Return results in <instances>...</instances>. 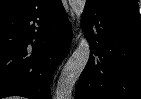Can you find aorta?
<instances>
[{"label":"aorta","mask_w":141,"mask_h":99,"mask_svg":"<svg viewBox=\"0 0 141 99\" xmlns=\"http://www.w3.org/2000/svg\"><path fill=\"white\" fill-rule=\"evenodd\" d=\"M69 4L76 14L78 21L81 22L86 0H69ZM89 56V41L86 38V33L81 31L78 47L67 61L60 74L55 99H71L73 87L84 70Z\"/></svg>","instance_id":"obj_1"}]
</instances>
